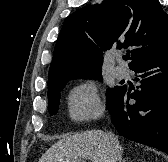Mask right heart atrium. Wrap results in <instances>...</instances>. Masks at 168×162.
I'll return each instance as SVG.
<instances>
[{"label":"right heart atrium","instance_id":"1","mask_svg":"<svg viewBox=\"0 0 168 162\" xmlns=\"http://www.w3.org/2000/svg\"><path fill=\"white\" fill-rule=\"evenodd\" d=\"M68 110L70 117L76 121L92 120L101 116L104 107L93 82H84L71 91Z\"/></svg>","mask_w":168,"mask_h":162}]
</instances>
